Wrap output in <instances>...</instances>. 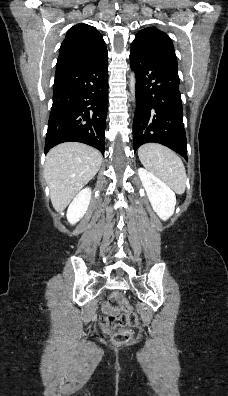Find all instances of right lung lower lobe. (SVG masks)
I'll return each instance as SVG.
<instances>
[{"label": "right lung lower lobe", "mask_w": 228, "mask_h": 396, "mask_svg": "<svg viewBox=\"0 0 228 396\" xmlns=\"http://www.w3.org/2000/svg\"><path fill=\"white\" fill-rule=\"evenodd\" d=\"M108 53L56 69L45 153L57 144L82 142L105 151Z\"/></svg>", "instance_id": "obj_1"}]
</instances>
